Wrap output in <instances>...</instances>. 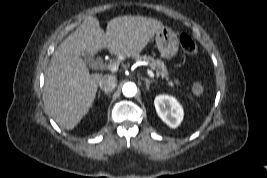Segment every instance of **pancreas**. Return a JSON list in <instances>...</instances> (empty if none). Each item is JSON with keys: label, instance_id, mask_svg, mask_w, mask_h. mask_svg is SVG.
Wrapping results in <instances>:
<instances>
[{"label": "pancreas", "instance_id": "cf45deb5", "mask_svg": "<svg viewBox=\"0 0 267 178\" xmlns=\"http://www.w3.org/2000/svg\"><path fill=\"white\" fill-rule=\"evenodd\" d=\"M135 60L137 61H145L150 65V68L156 72L157 77H161L162 79H166L170 86H174V83L169 78V72L163 61L159 59H154L153 57L146 55H135Z\"/></svg>", "mask_w": 267, "mask_h": 178}]
</instances>
